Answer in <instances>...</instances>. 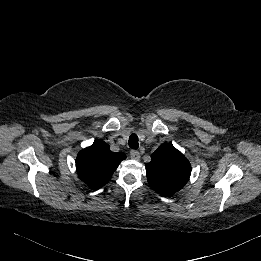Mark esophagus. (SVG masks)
<instances>
[{
    "mask_svg": "<svg viewBox=\"0 0 261 261\" xmlns=\"http://www.w3.org/2000/svg\"><path fill=\"white\" fill-rule=\"evenodd\" d=\"M130 157L134 160L140 159V153L137 150H131L130 151Z\"/></svg>",
    "mask_w": 261,
    "mask_h": 261,
    "instance_id": "34e87169",
    "label": "esophagus"
}]
</instances>
